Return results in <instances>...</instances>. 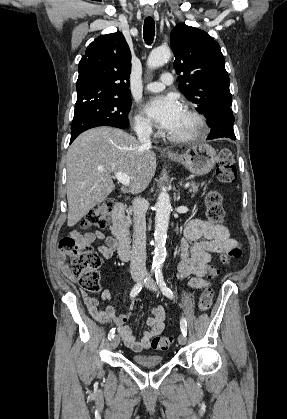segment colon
Masks as SVG:
<instances>
[{"mask_svg": "<svg viewBox=\"0 0 287 419\" xmlns=\"http://www.w3.org/2000/svg\"><path fill=\"white\" fill-rule=\"evenodd\" d=\"M217 178L226 184H234L237 180V169L234 156L230 149H222L218 154L216 165ZM207 213L211 222L219 224L224 219L223 199L217 191H210L206 196ZM114 202L106 199L90 210L83 222V227L104 228L108 225L114 208ZM59 248L63 254L70 258V269L82 289L88 292L100 290L98 268L101 265L99 255L92 247L84 241L79 231H75L63 237L59 243ZM241 256L239 246L232 247L228 253L222 256L223 263H229L232 259ZM216 274L213 268L210 277ZM213 290L205 289L199 299V308L202 311L210 309L213 301ZM173 342L172 336H157L152 342V348L160 351L167 350Z\"/></svg>", "mask_w": 287, "mask_h": 419, "instance_id": "1", "label": "colon"}]
</instances>
